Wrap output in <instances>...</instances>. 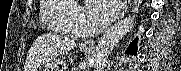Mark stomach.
I'll list each match as a JSON object with an SVG mask.
<instances>
[{"mask_svg": "<svg viewBox=\"0 0 181 71\" xmlns=\"http://www.w3.org/2000/svg\"><path fill=\"white\" fill-rule=\"evenodd\" d=\"M84 53H88L89 49L82 48ZM41 71H66V68L60 64L45 65Z\"/></svg>", "mask_w": 181, "mask_h": 71, "instance_id": "1", "label": "stomach"}]
</instances>
